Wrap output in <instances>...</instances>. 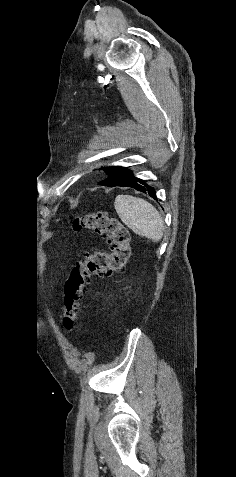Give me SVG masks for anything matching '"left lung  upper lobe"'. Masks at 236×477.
Segmentation results:
<instances>
[{
	"label": "left lung upper lobe",
	"mask_w": 236,
	"mask_h": 477,
	"mask_svg": "<svg viewBox=\"0 0 236 477\" xmlns=\"http://www.w3.org/2000/svg\"><path fill=\"white\" fill-rule=\"evenodd\" d=\"M102 169L106 172L108 178L101 181L99 184L107 187H114L118 183L126 181L132 174L131 170L122 166H110Z\"/></svg>",
	"instance_id": "obj_1"
}]
</instances>
